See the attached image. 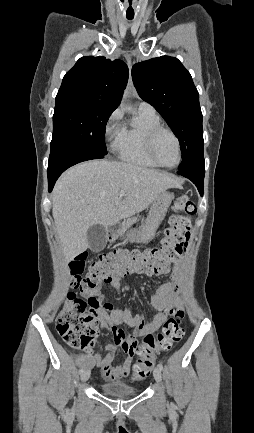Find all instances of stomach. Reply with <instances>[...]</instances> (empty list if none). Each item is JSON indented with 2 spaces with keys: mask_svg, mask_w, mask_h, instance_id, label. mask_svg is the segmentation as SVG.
<instances>
[{
  "mask_svg": "<svg viewBox=\"0 0 254 433\" xmlns=\"http://www.w3.org/2000/svg\"><path fill=\"white\" fill-rule=\"evenodd\" d=\"M173 198L174 195L172 193L166 190L162 191L153 201L145 222L137 230H130L127 234V239L131 242L146 243L154 238L156 230L165 218ZM119 235V231L115 230L111 234V239L116 240Z\"/></svg>",
  "mask_w": 254,
  "mask_h": 433,
  "instance_id": "0dacf381",
  "label": "stomach"
}]
</instances>
